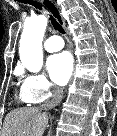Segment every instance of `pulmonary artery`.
<instances>
[{"mask_svg":"<svg viewBox=\"0 0 117 136\" xmlns=\"http://www.w3.org/2000/svg\"><path fill=\"white\" fill-rule=\"evenodd\" d=\"M44 49L48 52H55L64 47V42L59 36H51L44 42Z\"/></svg>","mask_w":117,"mask_h":136,"instance_id":"e3ab8cb5","label":"pulmonary artery"}]
</instances>
